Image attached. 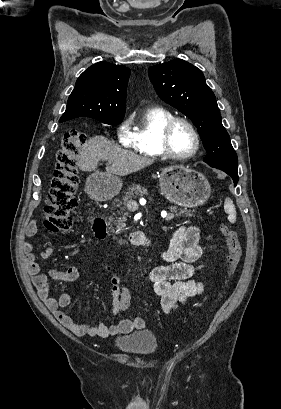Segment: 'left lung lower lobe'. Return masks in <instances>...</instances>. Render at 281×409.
<instances>
[{"instance_id": "1", "label": "left lung lower lobe", "mask_w": 281, "mask_h": 409, "mask_svg": "<svg viewBox=\"0 0 281 409\" xmlns=\"http://www.w3.org/2000/svg\"><path fill=\"white\" fill-rule=\"evenodd\" d=\"M212 167L223 170L226 172L228 175L231 176L234 182V186L238 183V166H232V165H227V164H220V165H213Z\"/></svg>"}]
</instances>
